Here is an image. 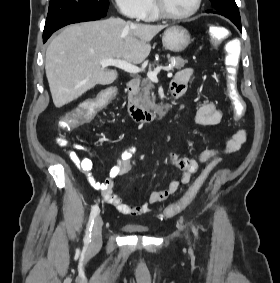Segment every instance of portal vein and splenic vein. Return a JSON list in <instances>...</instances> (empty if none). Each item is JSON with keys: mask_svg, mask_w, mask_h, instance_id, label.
<instances>
[{"mask_svg": "<svg viewBox=\"0 0 280 283\" xmlns=\"http://www.w3.org/2000/svg\"><path fill=\"white\" fill-rule=\"evenodd\" d=\"M99 63L102 67L115 66L131 74H138L142 71L138 66L128 63L127 61H123L121 59H107V60H102ZM161 69L166 70V68L157 67L153 71H148L147 77L153 82H158L157 75Z\"/></svg>", "mask_w": 280, "mask_h": 283, "instance_id": "1", "label": "portal vein and splenic vein"}]
</instances>
